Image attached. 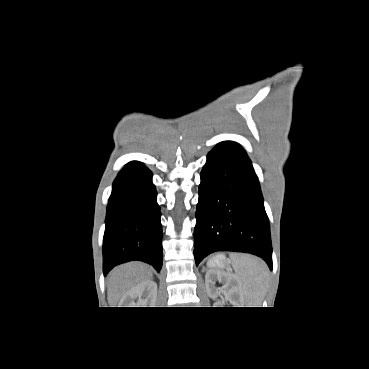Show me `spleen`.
<instances>
[{
	"label": "spleen",
	"mask_w": 369,
	"mask_h": 369,
	"mask_svg": "<svg viewBox=\"0 0 369 369\" xmlns=\"http://www.w3.org/2000/svg\"><path fill=\"white\" fill-rule=\"evenodd\" d=\"M230 259L248 307H260L268 283L266 264L248 254L233 253Z\"/></svg>",
	"instance_id": "3e777b00"
}]
</instances>
